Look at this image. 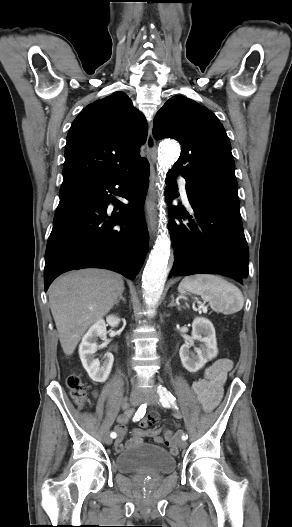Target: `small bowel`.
Here are the masks:
<instances>
[{"mask_svg": "<svg viewBox=\"0 0 292 527\" xmlns=\"http://www.w3.org/2000/svg\"><path fill=\"white\" fill-rule=\"evenodd\" d=\"M231 367L232 362L229 359L219 360L207 368L203 379L197 380L192 384V390L196 394L199 403L205 411L213 410L219 403L223 393V385ZM131 413L132 411L126 408L125 412L119 417L121 425L116 429L119 437L114 444V448L117 452L124 450L125 447L141 444L143 437H151L158 444L166 440V443L171 447L172 453H178V438L174 432H168V429H165L162 433L159 428L148 430L135 429L132 438L124 446L122 444V438L126 433L124 425L128 422Z\"/></svg>", "mask_w": 292, "mask_h": 527, "instance_id": "small-bowel-1", "label": "small bowel"}]
</instances>
